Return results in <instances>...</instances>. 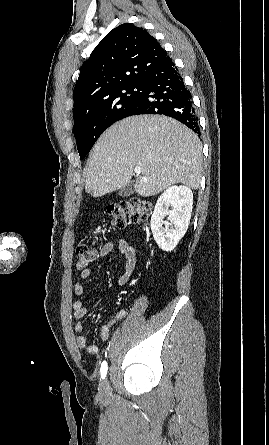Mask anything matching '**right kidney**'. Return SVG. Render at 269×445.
<instances>
[{
	"instance_id": "obj_1",
	"label": "right kidney",
	"mask_w": 269,
	"mask_h": 445,
	"mask_svg": "<svg viewBox=\"0 0 269 445\" xmlns=\"http://www.w3.org/2000/svg\"><path fill=\"white\" fill-rule=\"evenodd\" d=\"M192 205L193 193L186 186H171L159 197L151 217V231L160 249L171 251L177 246L188 229ZM166 216L170 223L164 222Z\"/></svg>"
}]
</instances>
